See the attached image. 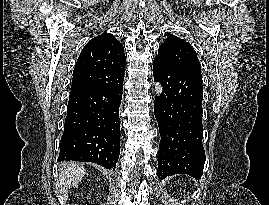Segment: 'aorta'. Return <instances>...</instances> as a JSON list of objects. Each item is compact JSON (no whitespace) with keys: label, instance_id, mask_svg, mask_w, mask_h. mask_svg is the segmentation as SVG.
<instances>
[{"label":"aorta","instance_id":"762f6f07","mask_svg":"<svg viewBox=\"0 0 269 205\" xmlns=\"http://www.w3.org/2000/svg\"><path fill=\"white\" fill-rule=\"evenodd\" d=\"M155 91L158 96L162 93L163 89L160 82L155 84Z\"/></svg>","mask_w":269,"mask_h":205}]
</instances>
